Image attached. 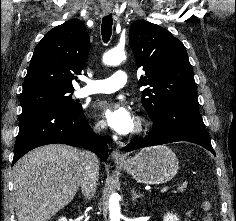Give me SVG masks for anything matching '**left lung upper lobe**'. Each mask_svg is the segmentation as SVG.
<instances>
[{
  "label": "left lung upper lobe",
  "mask_w": 236,
  "mask_h": 221,
  "mask_svg": "<svg viewBox=\"0 0 236 221\" xmlns=\"http://www.w3.org/2000/svg\"><path fill=\"white\" fill-rule=\"evenodd\" d=\"M129 38L137 66L145 71L139 86H150L142 92L141 102L152 121L170 104L198 106L193 70L182 42L146 21L134 22Z\"/></svg>",
  "instance_id": "left-lung-upper-lobe-1"
}]
</instances>
